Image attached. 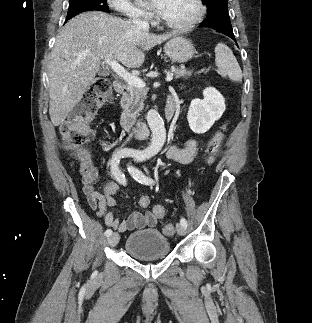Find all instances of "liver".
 I'll return each instance as SVG.
<instances>
[{
	"label": "liver",
	"instance_id": "liver-1",
	"mask_svg": "<svg viewBox=\"0 0 312 323\" xmlns=\"http://www.w3.org/2000/svg\"><path fill=\"white\" fill-rule=\"evenodd\" d=\"M175 38L155 36L104 12H84L59 30L48 66L49 116L60 126L93 82L101 60H116L127 68H140L146 50Z\"/></svg>",
	"mask_w": 312,
	"mask_h": 323
}]
</instances>
